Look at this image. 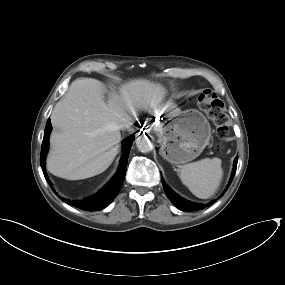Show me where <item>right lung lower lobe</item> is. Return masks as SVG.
Listing matches in <instances>:
<instances>
[{
  "mask_svg": "<svg viewBox=\"0 0 285 285\" xmlns=\"http://www.w3.org/2000/svg\"><path fill=\"white\" fill-rule=\"evenodd\" d=\"M51 129H52V125L49 119L46 124L44 138H43L42 147H41V154H40L41 168L43 170L46 180L49 182L50 185L52 183L50 182L46 174L45 159H46V154L49 148V134H50ZM134 139H135L134 136H130L123 141V156L120 160L118 170L115 173V175L112 177V179L98 193H96L95 195L89 198H86L83 200H77V201H68V203L82 210L100 211L104 209L110 202H112L114 198L117 196L123 184L125 174H126V167H127L129 152H130V148L132 146Z\"/></svg>",
  "mask_w": 285,
  "mask_h": 285,
  "instance_id": "1",
  "label": "right lung lower lobe"
}]
</instances>
